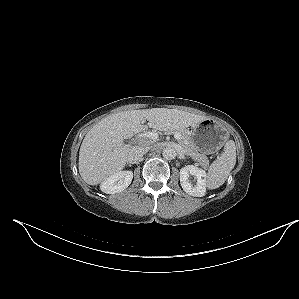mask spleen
<instances>
[{
	"instance_id": "obj_1",
	"label": "spleen",
	"mask_w": 299,
	"mask_h": 299,
	"mask_svg": "<svg viewBox=\"0 0 299 299\" xmlns=\"http://www.w3.org/2000/svg\"><path fill=\"white\" fill-rule=\"evenodd\" d=\"M236 163V146L233 140L226 142L224 151L209 167L206 179L208 189H216L224 184Z\"/></svg>"
}]
</instances>
